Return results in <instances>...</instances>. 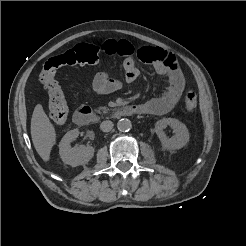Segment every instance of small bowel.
<instances>
[{
	"instance_id": "c3829d8e",
	"label": "small bowel",
	"mask_w": 246,
	"mask_h": 246,
	"mask_svg": "<svg viewBox=\"0 0 246 246\" xmlns=\"http://www.w3.org/2000/svg\"><path fill=\"white\" fill-rule=\"evenodd\" d=\"M98 53L106 55H120L124 58V82L132 83L140 75L135 58L153 66L155 72L165 78L166 89L157 98H152L139 104L140 114L163 115L170 112L178 103L184 89L185 80L177 58L170 52L161 48L143 47L135 50L133 45L126 40L107 39L100 45H91ZM123 81L113 78L107 72L98 73L91 85L87 88L90 94H110L119 90Z\"/></svg>"
}]
</instances>
